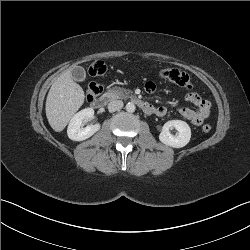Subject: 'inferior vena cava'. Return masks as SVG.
<instances>
[{
  "instance_id": "602c4592",
  "label": "inferior vena cava",
  "mask_w": 250,
  "mask_h": 250,
  "mask_svg": "<svg viewBox=\"0 0 250 250\" xmlns=\"http://www.w3.org/2000/svg\"><path fill=\"white\" fill-rule=\"evenodd\" d=\"M122 107H123V101H121V100H114L108 104L109 112L118 111V110L122 109Z\"/></svg>"
}]
</instances>
